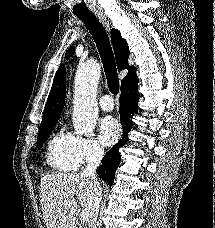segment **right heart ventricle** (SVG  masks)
Instances as JSON below:
<instances>
[{"label": "right heart ventricle", "mask_w": 215, "mask_h": 228, "mask_svg": "<svg viewBox=\"0 0 215 228\" xmlns=\"http://www.w3.org/2000/svg\"><path fill=\"white\" fill-rule=\"evenodd\" d=\"M46 161L54 171H76L80 166L78 137L64 128L59 129L47 144Z\"/></svg>", "instance_id": "right-heart-ventricle-1"}]
</instances>
